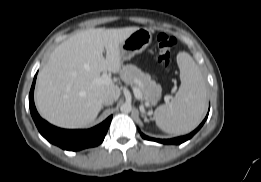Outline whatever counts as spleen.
Masks as SVG:
<instances>
[{"mask_svg": "<svg viewBox=\"0 0 261 182\" xmlns=\"http://www.w3.org/2000/svg\"><path fill=\"white\" fill-rule=\"evenodd\" d=\"M177 63L181 85L171 102L161 105L154 112L157 126L169 134H185L201 122L207 105L204 78L193 58L179 52Z\"/></svg>", "mask_w": 261, "mask_h": 182, "instance_id": "1", "label": "spleen"}]
</instances>
